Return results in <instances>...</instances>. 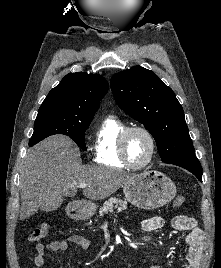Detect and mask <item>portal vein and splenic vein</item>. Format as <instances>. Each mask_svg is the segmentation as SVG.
<instances>
[{"instance_id":"portal-vein-and-splenic-vein-1","label":"portal vein and splenic vein","mask_w":221,"mask_h":268,"mask_svg":"<svg viewBox=\"0 0 221 268\" xmlns=\"http://www.w3.org/2000/svg\"><path fill=\"white\" fill-rule=\"evenodd\" d=\"M79 187L82 188V189H84V188L87 187V184H86V183H80V184H79Z\"/></svg>"}]
</instances>
